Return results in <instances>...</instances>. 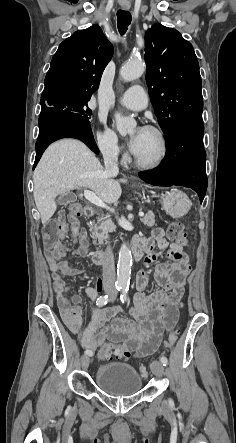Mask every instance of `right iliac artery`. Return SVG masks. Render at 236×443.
<instances>
[{
    "mask_svg": "<svg viewBox=\"0 0 236 443\" xmlns=\"http://www.w3.org/2000/svg\"><path fill=\"white\" fill-rule=\"evenodd\" d=\"M116 290H117V291H120V290H122V287H121V286H117V287H116ZM109 300H110V297H109L108 295L100 296V297L97 299V301H96V305L99 306V307H102V306H104L105 304H107V302H108ZM85 354H86V355H89V356H92V355H93V352L90 351V350H86V351H85Z\"/></svg>",
    "mask_w": 236,
    "mask_h": 443,
    "instance_id": "82829eb1",
    "label": "right iliac artery"
}]
</instances>
